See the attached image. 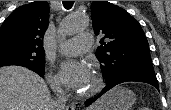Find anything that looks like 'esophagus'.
<instances>
[{
  "label": "esophagus",
  "mask_w": 171,
  "mask_h": 110,
  "mask_svg": "<svg viewBox=\"0 0 171 110\" xmlns=\"http://www.w3.org/2000/svg\"><path fill=\"white\" fill-rule=\"evenodd\" d=\"M75 109V105L74 104H70L67 106V110H74Z\"/></svg>",
  "instance_id": "esophagus-1"
}]
</instances>
